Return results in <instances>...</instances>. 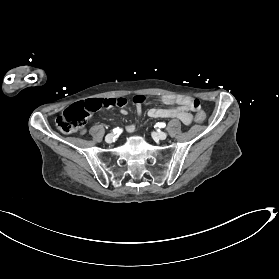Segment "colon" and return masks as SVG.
Listing matches in <instances>:
<instances>
[{
  "instance_id": "1",
  "label": "colon",
  "mask_w": 279,
  "mask_h": 279,
  "mask_svg": "<svg viewBox=\"0 0 279 279\" xmlns=\"http://www.w3.org/2000/svg\"><path fill=\"white\" fill-rule=\"evenodd\" d=\"M179 99L190 110L196 111L195 121L203 123L206 115L200 110V102L197 99L187 96H181ZM133 102L141 105L145 102V96L137 95L133 98ZM128 103V100L123 97L118 98H98L89 99L84 102L75 103L63 111L56 119L57 127L65 132L72 133L83 129L86 121L91 115L102 107H121Z\"/></svg>"
}]
</instances>
